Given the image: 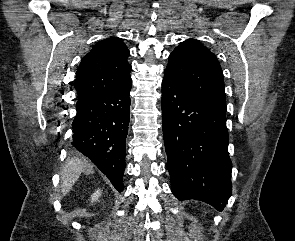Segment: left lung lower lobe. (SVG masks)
<instances>
[{
	"label": "left lung lower lobe",
	"mask_w": 295,
	"mask_h": 241,
	"mask_svg": "<svg viewBox=\"0 0 295 241\" xmlns=\"http://www.w3.org/2000/svg\"><path fill=\"white\" fill-rule=\"evenodd\" d=\"M161 107L172 193L222 211L232 190L226 109L195 97L167 74Z\"/></svg>",
	"instance_id": "1"
}]
</instances>
